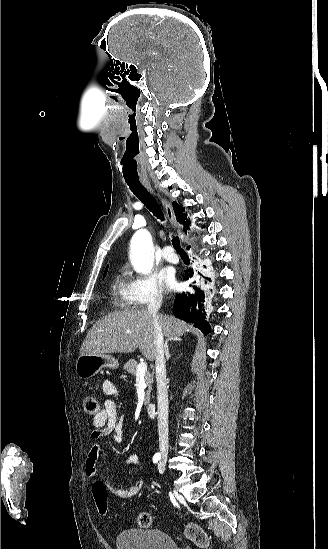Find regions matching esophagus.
Masks as SVG:
<instances>
[{"label":"esophagus","mask_w":328,"mask_h":549,"mask_svg":"<svg viewBox=\"0 0 328 549\" xmlns=\"http://www.w3.org/2000/svg\"><path fill=\"white\" fill-rule=\"evenodd\" d=\"M142 183H143V185H145V187L152 190V187H151V184H150L149 180H142ZM162 204H163V207H164V210L166 212V215H167L168 219L170 220V222L173 225H176V221H175V217H174V213H173L171 204L167 200H164V199H162Z\"/></svg>","instance_id":"1"}]
</instances>
